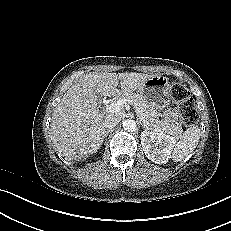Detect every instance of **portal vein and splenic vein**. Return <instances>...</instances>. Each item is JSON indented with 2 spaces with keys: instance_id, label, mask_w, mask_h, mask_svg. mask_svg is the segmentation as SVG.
Returning a JSON list of instances; mask_svg holds the SVG:
<instances>
[{
  "instance_id": "18ae733b",
  "label": "portal vein and splenic vein",
  "mask_w": 231,
  "mask_h": 231,
  "mask_svg": "<svg viewBox=\"0 0 231 231\" xmlns=\"http://www.w3.org/2000/svg\"><path fill=\"white\" fill-rule=\"evenodd\" d=\"M126 103H129L127 99H120V100L114 101L111 104L107 105L106 111L111 114L117 113L123 109V106Z\"/></svg>"
}]
</instances>
